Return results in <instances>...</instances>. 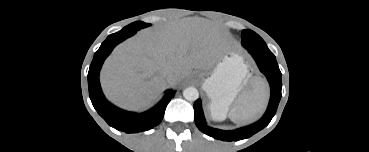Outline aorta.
I'll return each mask as SVG.
<instances>
[{
  "instance_id": "762f6f07",
  "label": "aorta",
  "mask_w": 369,
  "mask_h": 152,
  "mask_svg": "<svg viewBox=\"0 0 369 152\" xmlns=\"http://www.w3.org/2000/svg\"><path fill=\"white\" fill-rule=\"evenodd\" d=\"M183 97L188 101H195L199 97V92L195 87H188L183 91Z\"/></svg>"
}]
</instances>
